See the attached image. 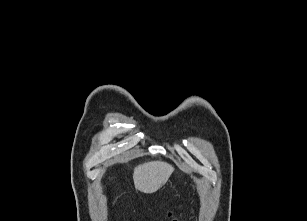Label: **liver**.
<instances>
[{
  "mask_svg": "<svg viewBox=\"0 0 307 221\" xmlns=\"http://www.w3.org/2000/svg\"><path fill=\"white\" fill-rule=\"evenodd\" d=\"M173 170L172 165L161 161L140 164L133 173L135 188L143 193H154L168 180Z\"/></svg>",
  "mask_w": 307,
  "mask_h": 221,
  "instance_id": "6515ba94",
  "label": "liver"
}]
</instances>
